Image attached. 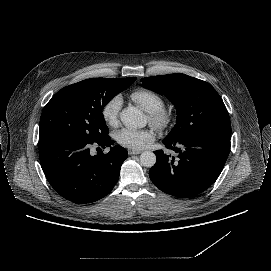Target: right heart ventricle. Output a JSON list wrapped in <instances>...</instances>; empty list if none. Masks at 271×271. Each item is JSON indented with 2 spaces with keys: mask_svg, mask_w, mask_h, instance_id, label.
Segmentation results:
<instances>
[{
  "mask_svg": "<svg viewBox=\"0 0 271 271\" xmlns=\"http://www.w3.org/2000/svg\"><path fill=\"white\" fill-rule=\"evenodd\" d=\"M130 98L147 112L161 109L165 105L163 97L148 88L135 89L130 93Z\"/></svg>",
  "mask_w": 271,
  "mask_h": 271,
  "instance_id": "e07e8e85",
  "label": "right heart ventricle"
}]
</instances>
